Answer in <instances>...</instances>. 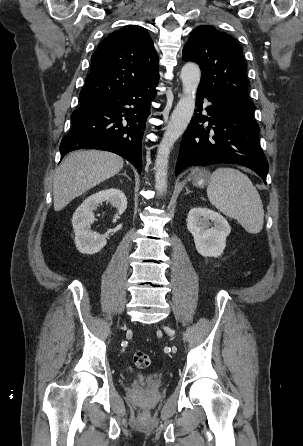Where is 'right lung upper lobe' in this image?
<instances>
[{"label":"right lung upper lobe","mask_w":303,"mask_h":446,"mask_svg":"<svg viewBox=\"0 0 303 446\" xmlns=\"http://www.w3.org/2000/svg\"><path fill=\"white\" fill-rule=\"evenodd\" d=\"M80 105L159 80L158 56L149 33L131 26L110 33L91 58Z\"/></svg>","instance_id":"1"}]
</instances>
